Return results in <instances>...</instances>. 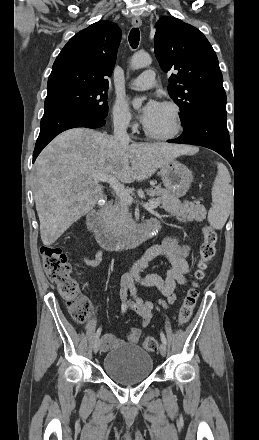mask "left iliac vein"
<instances>
[{
	"instance_id": "obj_1",
	"label": "left iliac vein",
	"mask_w": 259,
	"mask_h": 440,
	"mask_svg": "<svg viewBox=\"0 0 259 440\" xmlns=\"http://www.w3.org/2000/svg\"><path fill=\"white\" fill-rule=\"evenodd\" d=\"M166 345L162 342L159 347L160 354L164 357L166 355Z\"/></svg>"
}]
</instances>
